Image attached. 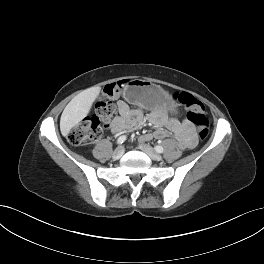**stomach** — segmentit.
<instances>
[{"mask_svg":"<svg viewBox=\"0 0 264 264\" xmlns=\"http://www.w3.org/2000/svg\"><path fill=\"white\" fill-rule=\"evenodd\" d=\"M125 98L146 109L165 108L169 117H176L180 113V106L172 101L166 91L146 80H131L125 90Z\"/></svg>","mask_w":264,"mask_h":264,"instance_id":"stomach-1","label":"stomach"}]
</instances>
